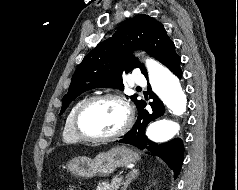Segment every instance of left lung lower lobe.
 <instances>
[{
	"label": "left lung lower lobe",
	"instance_id": "0a47b994",
	"mask_svg": "<svg viewBox=\"0 0 238 190\" xmlns=\"http://www.w3.org/2000/svg\"><path fill=\"white\" fill-rule=\"evenodd\" d=\"M181 58L173 51L163 62L178 78L182 77L180 69ZM150 97L154 99L149 104L151 111L145 110L146 102L141 101L137 106L138 118L132 129L118 142L133 145L148 154H154L162 158L173 170L175 176L178 175L183 163L184 147L180 138L173 139L169 142L158 144L149 140L145 135L147 125L162 116L165 108L160 99L150 91Z\"/></svg>",
	"mask_w": 238,
	"mask_h": 190
}]
</instances>
